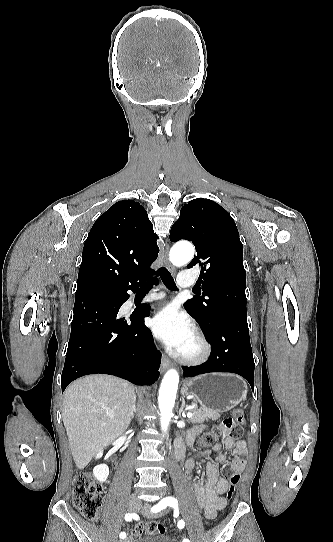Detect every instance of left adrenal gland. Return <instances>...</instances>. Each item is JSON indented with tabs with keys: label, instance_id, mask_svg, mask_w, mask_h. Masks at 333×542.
Instances as JSON below:
<instances>
[{
	"label": "left adrenal gland",
	"instance_id": "1",
	"mask_svg": "<svg viewBox=\"0 0 333 542\" xmlns=\"http://www.w3.org/2000/svg\"><path fill=\"white\" fill-rule=\"evenodd\" d=\"M184 398H185V396H182V406H181V408H180V410H179V416H180V418H182L181 414H182V412H183V410H184V408H185V400H184ZM182 420H183V418H182Z\"/></svg>",
	"mask_w": 333,
	"mask_h": 542
}]
</instances>
